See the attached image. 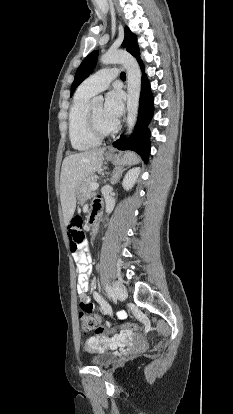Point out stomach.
Instances as JSON below:
<instances>
[{
	"mask_svg": "<svg viewBox=\"0 0 233 414\" xmlns=\"http://www.w3.org/2000/svg\"><path fill=\"white\" fill-rule=\"evenodd\" d=\"M105 158L107 161H111L115 165L132 164L134 160L133 155H129V154H126L123 157H119L116 154L106 153ZM76 197L78 198L80 202H85V200L88 198L85 182H82L78 186L76 190Z\"/></svg>",
	"mask_w": 233,
	"mask_h": 414,
	"instance_id": "obj_1",
	"label": "stomach"
}]
</instances>
